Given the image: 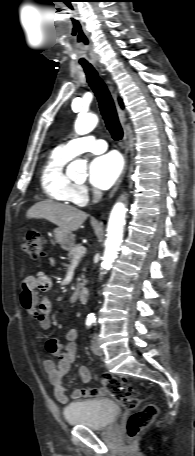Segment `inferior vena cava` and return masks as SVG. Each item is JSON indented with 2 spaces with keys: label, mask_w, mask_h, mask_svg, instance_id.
I'll return each instance as SVG.
<instances>
[{
  "label": "inferior vena cava",
  "mask_w": 195,
  "mask_h": 456,
  "mask_svg": "<svg viewBox=\"0 0 195 456\" xmlns=\"http://www.w3.org/2000/svg\"><path fill=\"white\" fill-rule=\"evenodd\" d=\"M102 198V192L98 189H93V203H97Z\"/></svg>",
  "instance_id": "inferior-vena-cava-1"
}]
</instances>
